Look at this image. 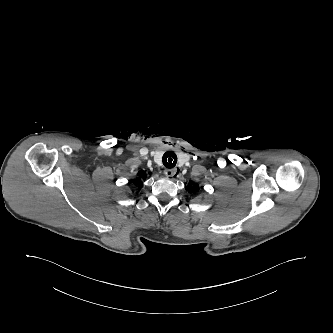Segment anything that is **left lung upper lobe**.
<instances>
[{"label":"left lung upper lobe","instance_id":"obj_1","mask_svg":"<svg viewBox=\"0 0 333 333\" xmlns=\"http://www.w3.org/2000/svg\"><path fill=\"white\" fill-rule=\"evenodd\" d=\"M186 190L188 192H194V191H198L199 190V186L198 184H189L187 187H186Z\"/></svg>","mask_w":333,"mask_h":333}]
</instances>
